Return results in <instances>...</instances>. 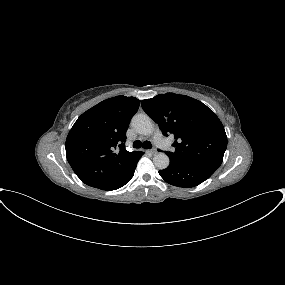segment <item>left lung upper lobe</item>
<instances>
[{
  "instance_id": "left-lung-upper-lobe-1",
  "label": "left lung upper lobe",
  "mask_w": 285,
  "mask_h": 285,
  "mask_svg": "<svg viewBox=\"0 0 285 285\" xmlns=\"http://www.w3.org/2000/svg\"><path fill=\"white\" fill-rule=\"evenodd\" d=\"M145 112L165 136H174L170 161L217 170L227 148L225 129L215 113L185 95L160 94L141 101Z\"/></svg>"
}]
</instances>
